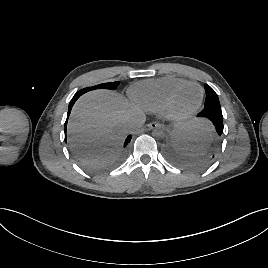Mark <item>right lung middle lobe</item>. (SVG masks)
I'll return each instance as SVG.
<instances>
[{"label": "right lung middle lobe", "instance_id": "obj_1", "mask_svg": "<svg viewBox=\"0 0 268 268\" xmlns=\"http://www.w3.org/2000/svg\"><path fill=\"white\" fill-rule=\"evenodd\" d=\"M119 82H110V83H103V84H99L93 87H87L84 88L80 91H78L79 93H81V95H83L84 93L91 91V90H95V89H109V90H115L118 86H119Z\"/></svg>", "mask_w": 268, "mask_h": 268}]
</instances>
